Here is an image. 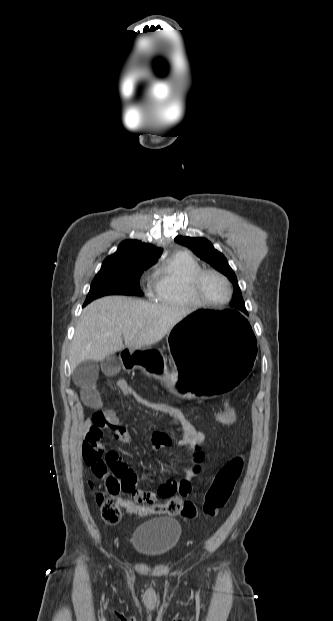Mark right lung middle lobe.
<instances>
[{"label": "right lung middle lobe", "instance_id": "obj_1", "mask_svg": "<svg viewBox=\"0 0 333 621\" xmlns=\"http://www.w3.org/2000/svg\"><path fill=\"white\" fill-rule=\"evenodd\" d=\"M149 267L151 265L141 263H103L91 284L84 306L105 295L143 296L139 280Z\"/></svg>", "mask_w": 333, "mask_h": 621}]
</instances>
